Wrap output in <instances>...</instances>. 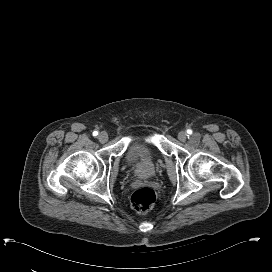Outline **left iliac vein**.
<instances>
[{"label": "left iliac vein", "instance_id": "1", "mask_svg": "<svg viewBox=\"0 0 272 272\" xmlns=\"http://www.w3.org/2000/svg\"><path fill=\"white\" fill-rule=\"evenodd\" d=\"M178 139L181 141V142H185L187 140V134L185 131H181L178 133Z\"/></svg>", "mask_w": 272, "mask_h": 272}]
</instances>
